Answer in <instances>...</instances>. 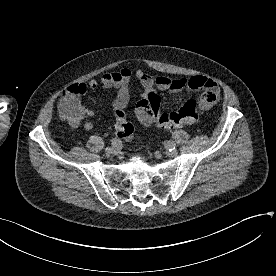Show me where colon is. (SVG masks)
Segmentation results:
<instances>
[{
    "label": "colon",
    "instance_id": "colon-1",
    "mask_svg": "<svg viewBox=\"0 0 276 276\" xmlns=\"http://www.w3.org/2000/svg\"><path fill=\"white\" fill-rule=\"evenodd\" d=\"M160 105V96L154 91H148L137 104V114L144 122L154 124L162 129L196 125L201 121L203 108L200 102L195 100L187 101L179 110L171 113L162 112ZM61 114L65 119L73 120L79 116V111L76 107L68 105L62 109ZM114 120L116 135L123 140H130L134 133V127L128 120L125 111L115 109Z\"/></svg>",
    "mask_w": 276,
    "mask_h": 276
}]
</instances>
